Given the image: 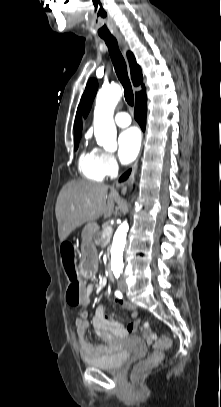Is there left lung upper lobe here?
<instances>
[{
  "label": "left lung upper lobe",
  "instance_id": "obj_1",
  "mask_svg": "<svg viewBox=\"0 0 221 407\" xmlns=\"http://www.w3.org/2000/svg\"><path fill=\"white\" fill-rule=\"evenodd\" d=\"M97 88H98L97 80L90 79L89 82L87 83L86 89L84 91V94L82 96L81 103H80L82 110H83L84 117H86L90 111L92 102H93L94 97L97 92Z\"/></svg>",
  "mask_w": 221,
  "mask_h": 407
}]
</instances>
